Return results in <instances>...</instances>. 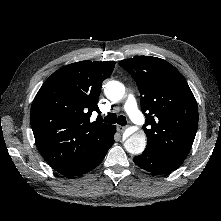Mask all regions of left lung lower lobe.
Returning <instances> with one entry per match:
<instances>
[{"label":"left lung lower lobe","instance_id":"0a47b994","mask_svg":"<svg viewBox=\"0 0 221 221\" xmlns=\"http://www.w3.org/2000/svg\"><path fill=\"white\" fill-rule=\"evenodd\" d=\"M133 161L140 168L153 173H169L183 163V160L149 151H144L142 155L133 158Z\"/></svg>","mask_w":221,"mask_h":221}]
</instances>
